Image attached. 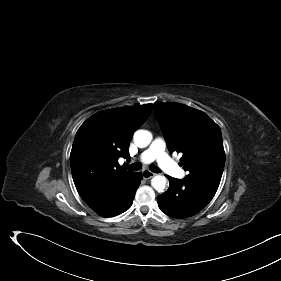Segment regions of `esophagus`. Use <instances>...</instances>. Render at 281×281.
Segmentation results:
<instances>
[{"mask_svg":"<svg viewBox=\"0 0 281 281\" xmlns=\"http://www.w3.org/2000/svg\"><path fill=\"white\" fill-rule=\"evenodd\" d=\"M142 175H143L144 179H150V178L154 177L156 174L151 172L150 170L145 169L142 171Z\"/></svg>","mask_w":281,"mask_h":281,"instance_id":"34e87169","label":"esophagus"}]
</instances>
